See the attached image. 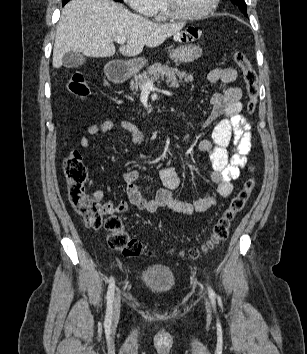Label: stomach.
Here are the masks:
<instances>
[{"instance_id": "0dacf381", "label": "stomach", "mask_w": 307, "mask_h": 354, "mask_svg": "<svg viewBox=\"0 0 307 354\" xmlns=\"http://www.w3.org/2000/svg\"><path fill=\"white\" fill-rule=\"evenodd\" d=\"M201 32L196 27L186 29V35L183 38L174 36L175 41L181 43L179 47L170 52V57L180 63H189L198 59L202 55V49L192 44V42L200 37ZM146 64L143 58H136L129 61L120 62L118 65L117 76L121 79L128 78L136 74Z\"/></svg>"}]
</instances>
